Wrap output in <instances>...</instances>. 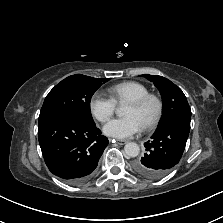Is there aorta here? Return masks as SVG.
<instances>
[{"mask_svg":"<svg viewBox=\"0 0 223 223\" xmlns=\"http://www.w3.org/2000/svg\"><path fill=\"white\" fill-rule=\"evenodd\" d=\"M117 114L118 116H121L122 115V109L119 108L117 110ZM124 153L128 156V157H137L140 153V148L138 146L137 143L135 142H129L127 143L125 146H124Z\"/></svg>","mask_w":223,"mask_h":223,"instance_id":"762f6f07","label":"aorta"}]
</instances>
